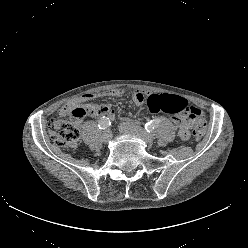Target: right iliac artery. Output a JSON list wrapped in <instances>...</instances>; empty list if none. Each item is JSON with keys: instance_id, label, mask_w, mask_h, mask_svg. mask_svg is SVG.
<instances>
[{"instance_id": "82829eb1", "label": "right iliac artery", "mask_w": 248, "mask_h": 248, "mask_svg": "<svg viewBox=\"0 0 248 248\" xmlns=\"http://www.w3.org/2000/svg\"><path fill=\"white\" fill-rule=\"evenodd\" d=\"M110 125H111L110 120L109 118H106V117H102L98 123V127L101 130L107 129Z\"/></svg>"}]
</instances>
